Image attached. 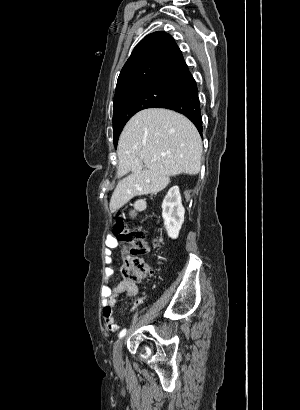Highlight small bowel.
I'll list each match as a JSON object with an SVG mask.
<instances>
[{"mask_svg":"<svg viewBox=\"0 0 300 410\" xmlns=\"http://www.w3.org/2000/svg\"><path fill=\"white\" fill-rule=\"evenodd\" d=\"M106 247L111 250L118 247V242L113 236H108L105 241ZM122 254L126 253L125 249L121 250ZM115 265L111 256L108 255L107 267L105 270L106 280L102 286L101 294L102 302V317L107 327L114 331L118 328V323L114 317L113 309L122 296L134 297L136 299L131 307V311H135L144 301L145 292L140 291L136 282L121 280L115 287H111L109 279L114 273Z\"/></svg>","mask_w":300,"mask_h":410,"instance_id":"c3829d8e","label":"small bowel"}]
</instances>
